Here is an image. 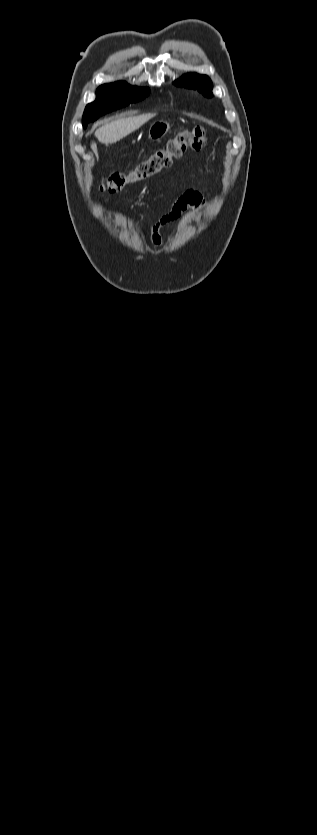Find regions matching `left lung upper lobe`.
Segmentation results:
<instances>
[{"label":"left lung upper lobe","instance_id":"left-lung-upper-lobe-1","mask_svg":"<svg viewBox=\"0 0 317 835\" xmlns=\"http://www.w3.org/2000/svg\"><path fill=\"white\" fill-rule=\"evenodd\" d=\"M175 85L197 89L206 97H212V82L206 75L189 73L175 82Z\"/></svg>","mask_w":317,"mask_h":835}]
</instances>
